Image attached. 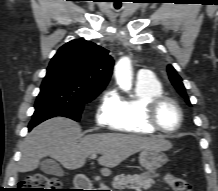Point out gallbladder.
Here are the masks:
<instances>
[{
	"mask_svg": "<svg viewBox=\"0 0 218 191\" xmlns=\"http://www.w3.org/2000/svg\"><path fill=\"white\" fill-rule=\"evenodd\" d=\"M40 169L46 174L62 176L63 170L61 166L54 159H44L40 163Z\"/></svg>",
	"mask_w": 218,
	"mask_h": 191,
	"instance_id": "bac80fb5",
	"label": "gallbladder"
}]
</instances>
